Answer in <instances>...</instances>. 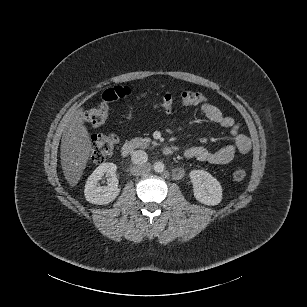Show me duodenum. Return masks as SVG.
Segmentation results:
<instances>
[{
	"label": "duodenum",
	"instance_id": "1",
	"mask_svg": "<svg viewBox=\"0 0 307 307\" xmlns=\"http://www.w3.org/2000/svg\"><path fill=\"white\" fill-rule=\"evenodd\" d=\"M152 148L147 142L142 139L134 138L126 141L121 148V153L124 157L129 156L134 150L137 149H149ZM161 152L165 156H172L175 152L171 146H164L161 148Z\"/></svg>",
	"mask_w": 307,
	"mask_h": 307
}]
</instances>
